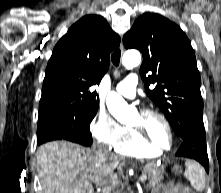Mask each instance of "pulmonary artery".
I'll return each mask as SVG.
<instances>
[{"mask_svg": "<svg viewBox=\"0 0 221 193\" xmlns=\"http://www.w3.org/2000/svg\"><path fill=\"white\" fill-rule=\"evenodd\" d=\"M137 83V74L130 73L120 83L117 84L116 91L125 97L133 98L136 94Z\"/></svg>", "mask_w": 221, "mask_h": 193, "instance_id": "1", "label": "pulmonary artery"}]
</instances>
